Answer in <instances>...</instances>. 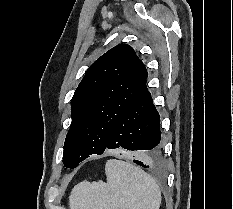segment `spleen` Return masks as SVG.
Listing matches in <instances>:
<instances>
[{"mask_svg": "<svg viewBox=\"0 0 233 209\" xmlns=\"http://www.w3.org/2000/svg\"><path fill=\"white\" fill-rule=\"evenodd\" d=\"M107 182L83 181L69 196L70 209H159L156 181L139 167L122 160L106 162Z\"/></svg>", "mask_w": 233, "mask_h": 209, "instance_id": "1", "label": "spleen"}]
</instances>
